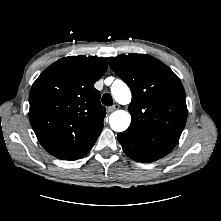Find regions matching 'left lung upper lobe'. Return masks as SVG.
I'll return each instance as SVG.
<instances>
[{
    "label": "left lung upper lobe",
    "instance_id": "5c2ea615",
    "mask_svg": "<svg viewBox=\"0 0 221 221\" xmlns=\"http://www.w3.org/2000/svg\"><path fill=\"white\" fill-rule=\"evenodd\" d=\"M111 69L130 87L131 124L121 134L139 151L162 158L178 143L187 120L180 79L164 63L145 54L121 55Z\"/></svg>",
    "mask_w": 221,
    "mask_h": 221
}]
</instances>
